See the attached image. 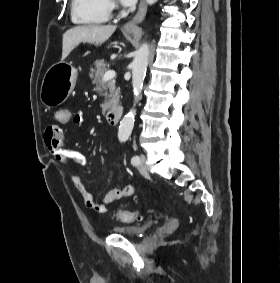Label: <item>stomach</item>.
Returning a JSON list of instances; mask_svg holds the SVG:
<instances>
[{
  "mask_svg": "<svg viewBox=\"0 0 280 283\" xmlns=\"http://www.w3.org/2000/svg\"><path fill=\"white\" fill-rule=\"evenodd\" d=\"M133 30L126 33L131 34ZM77 70L71 63L58 62L45 73L40 90V100L47 106L62 104L75 87Z\"/></svg>",
  "mask_w": 280,
  "mask_h": 283,
  "instance_id": "obj_1",
  "label": "stomach"
}]
</instances>
